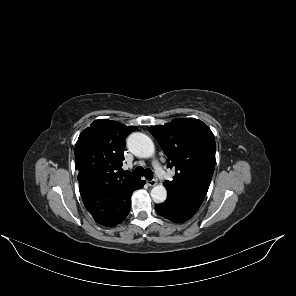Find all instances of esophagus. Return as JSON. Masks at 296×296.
Wrapping results in <instances>:
<instances>
[{
  "label": "esophagus",
  "instance_id": "esophagus-1",
  "mask_svg": "<svg viewBox=\"0 0 296 296\" xmlns=\"http://www.w3.org/2000/svg\"><path fill=\"white\" fill-rule=\"evenodd\" d=\"M147 184L149 186H155L157 184V179L148 180Z\"/></svg>",
  "mask_w": 296,
  "mask_h": 296
}]
</instances>
